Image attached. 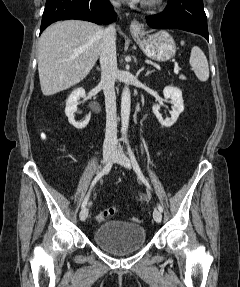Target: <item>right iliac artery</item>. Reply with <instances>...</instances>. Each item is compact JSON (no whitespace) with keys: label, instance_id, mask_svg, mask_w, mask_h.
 Here are the masks:
<instances>
[{"label":"right iliac artery","instance_id":"82829eb1","mask_svg":"<svg viewBox=\"0 0 240 287\" xmlns=\"http://www.w3.org/2000/svg\"><path fill=\"white\" fill-rule=\"evenodd\" d=\"M113 162H114V161L111 160V161L105 166V168H104L101 172H99V173L97 174V176L94 178V180H93V182H92V184H91V187H90V189H89V191H88V193H87V195H86V197H85V199H84V201H83V203H82V208H85V206L87 205V202H88V200H89V196H90L91 190H92V188L94 187V185L102 178L103 175L107 174V173L110 171Z\"/></svg>","mask_w":240,"mask_h":287}]
</instances>
